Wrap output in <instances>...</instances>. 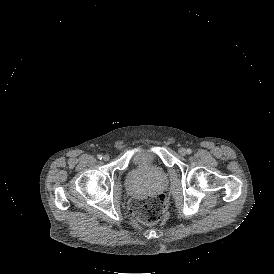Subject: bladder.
<instances>
[{
    "mask_svg": "<svg viewBox=\"0 0 274 274\" xmlns=\"http://www.w3.org/2000/svg\"><path fill=\"white\" fill-rule=\"evenodd\" d=\"M150 154H151V151L147 148L137 149L133 152L134 158H139V159L148 158Z\"/></svg>",
    "mask_w": 274,
    "mask_h": 274,
    "instance_id": "obj_1",
    "label": "bladder"
}]
</instances>
